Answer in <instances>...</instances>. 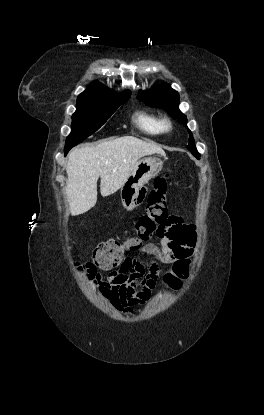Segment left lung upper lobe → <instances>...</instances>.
I'll use <instances>...</instances> for the list:
<instances>
[{"mask_svg": "<svg viewBox=\"0 0 264 415\" xmlns=\"http://www.w3.org/2000/svg\"><path fill=\"white\" fill-rule=\"evenodd\" d=\"M138 98L141 101H144L148 106L165 109L172 118L177 119L179 123L187 127V118L179 109V94L177 91L173 90L169 84L158 86L149 92L140 91ZM188 132L190 137L187 149L199 159L200 154L197 152L193 135L190 130H188Z\"/></svg>", "mask_w": 264, "mask_h": 415, "instance_id": "1", "label": "left lung upper lobe"}]
</instances>
